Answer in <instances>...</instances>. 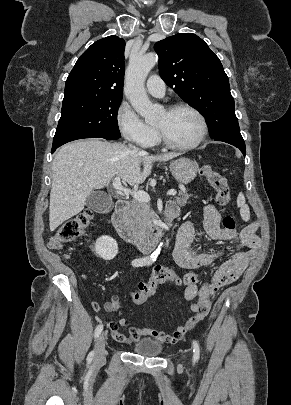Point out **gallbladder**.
Here are the masks:
<instances>
[{
    "label": "gallbladder",
    "instance_id": "bac80fb5",
    "mask_svg": "<svg viewBox=\"0 0 291 405\" xmlns=\"http://www.w3.org/2000/svg\"><path fill=\"white\" fill-rule=\"evenodd\" d=\"M86 206L97 213H105L112 209L113 202L106 193L93 191L86 199Z\"/></svg>",
    "mask_w": 291,
    "mask_h": 405
}]
</instances>
